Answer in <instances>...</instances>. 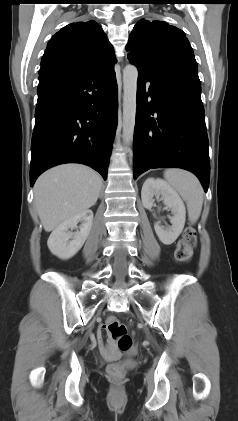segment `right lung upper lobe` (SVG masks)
<instances>
[{"label":"right lung upper lobe","mask_w":238,"mask_h":421,"mask_svg":"<svg viewBox=\"0 0 238 421\" xmlns=\"http://www.w3.org/2000/svg\"><path fill=\"white\" fill-rule=\"evenodd\" d=\"M116 63L102 27L91 20L71 23L48 43L39 74L106 71Z\"/></svg>","instance_id":"cb5924a9"}]
</instances>
